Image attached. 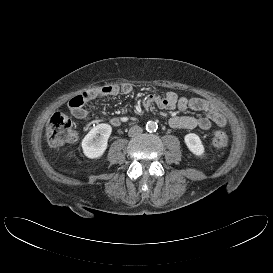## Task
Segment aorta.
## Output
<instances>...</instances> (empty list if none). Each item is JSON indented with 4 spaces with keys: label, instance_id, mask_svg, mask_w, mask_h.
Listing matches in <instances>:
<instances>
[{
    "label": "aorta",
    "instance_id": "obj_1",
    "mask_svg": "<svg viewBox=\"0 0 273 273\" xmlns=\"http://www.w3.org/2000/svg\"><path fill=\"white\" fill-rule=\"evenodd\" d=\"M157 128H158V125L154 121H148L146 124V130L148 132H155L157 130Z\"/></svg>",
    "mask_w": 273,
    "mask_h": 273
}]
</instances>
